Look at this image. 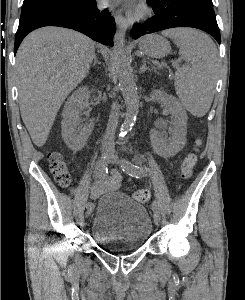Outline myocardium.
Here are the masks:
<instances>
[{"mask_svg": "<svg viewBox=\"0 0 245 300\" xmlns=\"http://www.w3.org/2000/svg\"><path fill=\"white\" fill-rule=\"evenodd\" d=\"M148 10L145 6H141L139 11H138V17H143L145 15H147Z\"/></svg>", "mask_w": 245, "mask_h": 300, "instance_id": "1", "label": "myocardium"}]
</instances>
